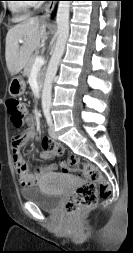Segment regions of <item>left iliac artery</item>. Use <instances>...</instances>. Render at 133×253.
Returning a JSON list of instances; mask_svg holds the SVG:
<instances>
[{"label":"left iliac artery","instance_id":"obj_1","mask_svg":"<svg viewBox=\"0 0 133 253\" xmlns=\"http://www.w3.org/2000/svg\"><path fill=\"white\" fill-rule=\"evenodd\" d=\"M45 117L47 120V124L50 126L52 124V118H51L50 113H45Z\"/></svg>","mask_w":133,"mask_h":253}]
</instances>
